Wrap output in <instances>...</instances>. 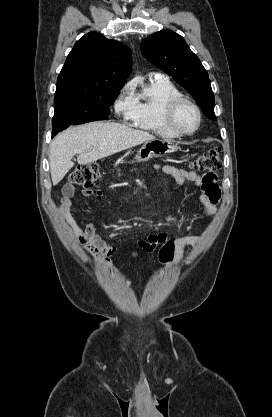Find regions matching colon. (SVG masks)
<instances>
[{
  "label": "colon",
  "instance_id": "1",
  "mask_svg": "<svg viewBox=\"0 0 272 417\" xmlns=\"http://www.w3.org/2000/svg\"><path fill=\"white\" fill-rule=\"evenodd\" d=\"M221 167L220 149L214 148L198 156L190 163V168L194 171L213 174ZM100 179V168L98 164L89 163L78 165L70 174L72 184L90 188ZM139 249L144 254L158 252L159 260L166 267L170 266L175 259L176 246L171 239L166 240L160 245L144 244L139 245Z\"/></svg>",
  "mask_w": 272,
  "mask_h": 417
}]
</instances>
